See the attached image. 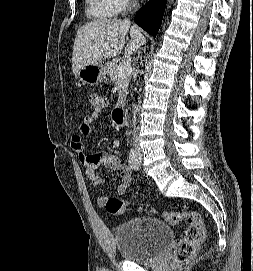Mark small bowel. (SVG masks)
Returning <instances> with one entry per match:
<instances>
[{"mask_svg": "<svg viewBox=\"0 0 253 271\" xmlns=\"http://www.w3.org/2000/svg\"><path fill=\"white\" fill-rule=\"evenodd\" d=\"M99 118V113L92 112L83 117L82 122L77 132L70 135L71 151L78 157L80 162L85 166L86 176L94 187H99L102 184V178L97 174L99 167H105L116 171L120 177V182L117 187V194H124L131 183V170L129 166L122 164L119 158L112 153L102 151L97 153L85 154L81 136H89L92 134V124ZM107 195H99L97 203L103 206L108 200Z\"/></svg>", "mask_w": 253, "mask_h": 271, "instance_id": "small-bowel-1", "label": "small bowel"}]
</instances>
